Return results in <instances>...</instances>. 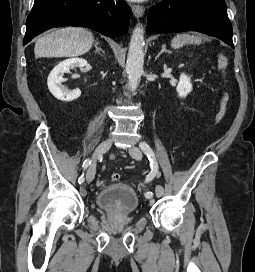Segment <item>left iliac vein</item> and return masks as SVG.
<instances>
[{"instance_id": "left-iliac-vein-1", "label": "left iliac vein", "mask_w": 255, "mask_h": 272, "mask_svg": "<svg viewBox=\"0 0 255 272\" xmlns=\"http://www.w3.org/2000/svg\"><path fill=\"white\" fill-rule=\"evenodd\" d=\"M129 154L131 155L132 158L136 160H140L142 158V152L138 147H131L129 149ZM155 193L157 197H160L164 193V189L161 185H157L155 188Z\"/></svg>"}]
</instances>
